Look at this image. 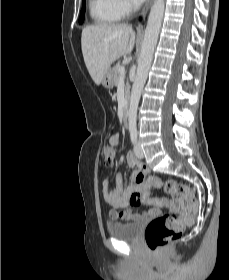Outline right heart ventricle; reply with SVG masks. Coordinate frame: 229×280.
I'll use <instances>...</instances> for the list:
<instances>
[{
	"label": "right heart ventricle",
	"instance_id": "obj_1",
	"mask_svg": "<svg viewBox=\"0 0 229 280\" xmlns=\"http://www.w3.org/2000/svg\"><path fill=\"white\" fill-rule=\"evenodd\" d=\"M89 11L93 22L100 26L112 25L122 18L113 0H89Z\"/></svg>",
	"mask_w": 229,
	"mask_h": 280
}]
</instances>
